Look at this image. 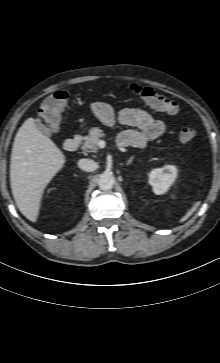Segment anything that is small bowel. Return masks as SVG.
I'll return each instance as SVG.
<instances>
[{"mask_svg": "<svg viewBox=\"0 0 220 363\" xmlns=\"http://www.w3.org/2000/svg\"><path fill=\"white\" fill-rule=\"evenodd\" d=\"M92 113L104 124L116 123L134 128L122 131L118 137L120 146L142 148L148 141L161 137L166 132V125L152 114L140 108H122L114 110L109 105L96 102L91 105Z\"/></svg>", "mask_w": 220, "mask_h": 363, "instance_id": "1", "label": "small bowel"}]
</instances>
